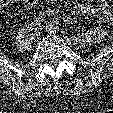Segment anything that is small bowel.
Segmentation results:
<instances>
[{
	"instance_id": "obj_1",
	"label": "small bowel",
	"mask_w": 113,
	"mask_h": 113,
	"mask_svg": "<svg viewBox=\"0 0 113 113\" xmlns=\"http://www.w3.org/2000/svg\"><path fill=\"white\" fill-rule=\"evenodd\" d=\"M19 1L27 3L28 8H33L41 3L42 0H0V10L1 4L7 5L9 2ZM45 2L49 3L52 2V0H46ZM98 3L97 6L89 3H76L72 13L94 17L97 19L98 23L107 24L111 28V32H113V5L111 4V0H101Z\"/></svg>"
}]
</instances>
